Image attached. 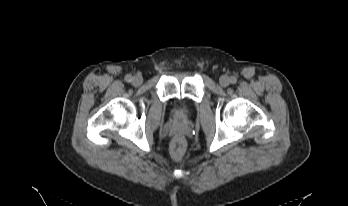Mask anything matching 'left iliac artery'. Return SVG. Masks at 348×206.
<instances>
[{
    "instance_id": "1",
    "label": "left iliac artery",
    "mask_w": 348,
    "mask_h": 206,
    "mask_svg": "<svg viewBox=\"0 0 348 206\" xmlns=\"http://www.w3.org/2000/svg\"><path fill=\"white\" fill-rule=\"evenodd\" d=\"M236 81H237V79H236L235 77H231L230 82H231L232 84L236 83Z\"/></svg>"
}]
</instances>
